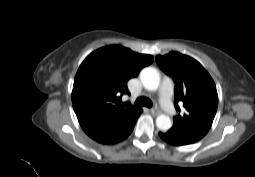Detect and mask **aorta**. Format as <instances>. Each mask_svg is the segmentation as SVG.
I'll list each match as a JSON object with an SVG mask.
<instances>
[{"label": "aorta", "mask_w": 255, "mask_h": 177, "mask_svg": "<svg viewBox=\"0 0 255 177\" xmlns=\"http://www.w3.org/2000/svg\"><path fill=\"white\" fill-rule=\"evenodd\" d=\"M140 81L145 89L156 91L160 85L159 72L153 67H146L140 72ZM156 126L162 131H167L172 126L171 119L167 115H159L156 118Z\"/></svg>", "instance_id": "762f6f07"}]
</instances>
